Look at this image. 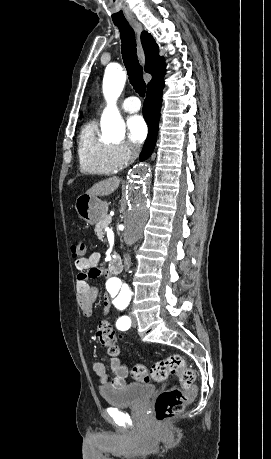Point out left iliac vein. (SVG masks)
Segmentation results:
<instances>
[{
    "instance_id": "left-iliac-vein-1",
    "label": "left iliac vein",
    "mask_w": 271,
    "mask_h": 459,
    "mask_svg": "<svg viewBox=\"0 0 271 459\" xmlns=\"http://www.w3.org/2000/svg\"><path fill=\"white\" fill-rule=\"evenodd\" d=\"M129 316H130V318L132 320V326H135L136 325V318H135L134 314L133 313H129Z\"/></svg>"
}]
</instances>
